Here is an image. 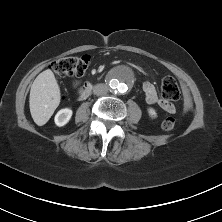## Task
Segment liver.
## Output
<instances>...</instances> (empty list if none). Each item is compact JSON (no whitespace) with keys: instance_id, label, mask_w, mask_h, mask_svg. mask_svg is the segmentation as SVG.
Masks as SVG:
<instances>
[{"instance_id":"6515ba94","label":"liver","mask_w":222,"mask_h":222,"mask_svg":"<svg viewBox=\"0 0 222 222\" xmlns=\"http://www.w3.org/2000/svg\"><path fill=\"white\" fill-rule=\"evenodd\" d=\"M60 99V88L53 72L50 69L41 72L31 86L29 97L30 113L38 126L48 122Z\"/></svg>"}]
</instances>
